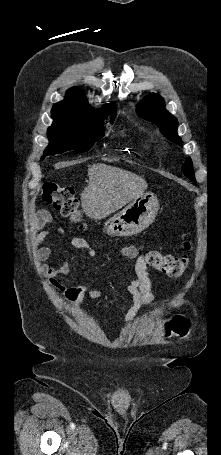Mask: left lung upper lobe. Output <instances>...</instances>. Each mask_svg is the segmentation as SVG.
Instances as JSON below:
<instances>
[{"mask_svg":"<svg viewBox=\"0 0 221 455\" xmlns=\"http://www.w3.org/2000/svg\"><path fill=\"white\" fill-rule=\"evenodd\" d=\"M137 114L159 126L162 134L170 141L180 144L177 135V119L164 107V100L158 94H150L144 98L137 107ZM182 171L191 180H195L192 161L188 158L182 166Z\"/></svg>","mask_w":221,"mask_h":455,"instance_id":"obj_1","label":"left lung upper lobe"}]
</instances>
